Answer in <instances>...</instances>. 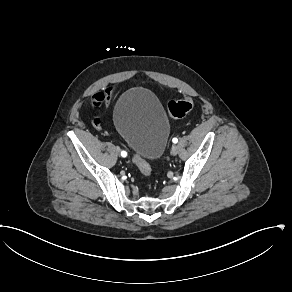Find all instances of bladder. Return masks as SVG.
Masks as SVG:
<instances>
[{
    "label": "bladder",
    "mask_w": 292,
    "mask_h": 292,
    "mask_svg": "<svg viewBox=\"0 0 292 292\" xmlns=\"http://www.w3.org/2000/svg\"><path fill=\"white\" fill-rule=\"evenodd\" d=\"M113 123L132 151L145 160L163 153L170 124L158 97L144 87L126 90L113 110Z\"/></svg>",
    "instance_id": "obj_1"
}]
</instances>
